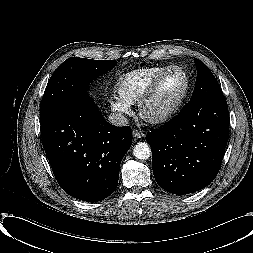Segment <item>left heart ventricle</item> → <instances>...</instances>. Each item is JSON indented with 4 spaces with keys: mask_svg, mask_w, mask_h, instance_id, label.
<instances>
[{
    "mask_svg": "<svg viewBox=\"0 0 253 253\" xmlns=\"http://www.w3.org/2000/svg\"><path fill=\"white\" fill-rule=\"evenodd\" d=\"M184 85V76L180 71L168 73L161 81L149 111L159 113L171 108L181 95Z\"/></svg>",
    "mask_w": 253,
    "mask_h": 253,
    "instance_id": "1",
    "label": "left heart ventricle"
}]
</instances>
